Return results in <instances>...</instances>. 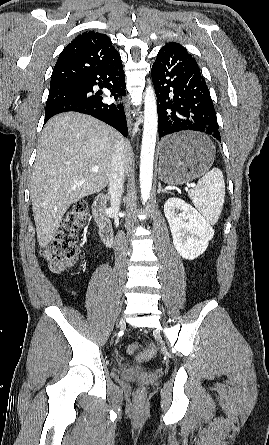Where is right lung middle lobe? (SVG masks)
<instances>
[{"mask_svg":"<svg viewBox=\"0 0 269 445\" xmlns=\"http://www.w3.org/2000/svg\"><path fill=\"white\" fill-rule=\"evenodd\" d=\"M76 90V85H65L50 88L45 112L53 107L55 104L69 99L76 92Z\"/></svg>","mask_w":269,"mask_h":445,"instance_id":"right-lung-middle-lobe-1","label":"right lung middle lobe"}]
</instances>
